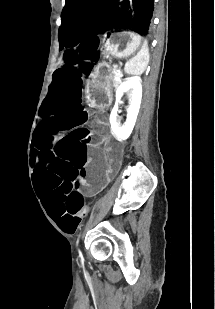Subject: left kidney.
Returning a JSON list of instances; mask_svg holds the SVG:
<instances>
[{
  "label": "left kidney",
  "mask_w": 215,
  "mask_h": 309,
  "mask_svg": "<svg viewBox=\"0 0 215 309\" xmlns=\"http://www.w3.org/2000/svg\"><path fill=\"white\" fill-rule=\"evenodd\" d=\"M140 80V76H131V78H127L125 82H122L116 90V102L111 110L109 120L111 122V128L118 140H126L134 128L142 98V86ZM124 92H131V96L129 98L130 104L127 108L126 122L121 126L120 120L117 116V110L118 102Z\"/></svg>",
  "instance_id": "left-kidney-1"
}]
</instances>
